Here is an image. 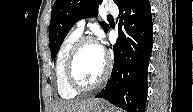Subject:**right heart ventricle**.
Here are the masks:
<instances>
[{
    "mask_svg": "<svg viewBox=\"0 0 193 112\" xmlns=\"http://www.w3.org/2000/svg\"><path fill=\"white\" fill-rule=\"evenodd\" d=\"M80 36L81 34L74 30L69 32L60 43L57 51L55 63L56 85L59 95L64 99H72L78 95V92L67 81L65 66L68 54Z\"/></svg>",
    "mask_w": 193,
    "mask_h": 112,
    "instance_id": "right-heart-ventricle-1",
    "label": "right heart ventricle"
}]
</instances>
